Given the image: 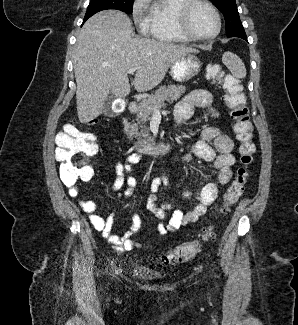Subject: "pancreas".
Wrapping results in <instances>:
<instances>
[{"label": "pancreas", "mask_w": 298, "mask_h": 325, "mask_svg": "<svg viewBox=\"0 0 298 325\" xmlns=\"http://www.w3.org/2000/svg\"><path fill=\"white\" fill-rule=\"evenodd\" d=\"M186 88L187 86H183V84L159 86L150 96L142 98L139 102L136 122L129 126V134H134L139 144H154V136H150L149 128L146 126L147 120H150L154 114V106H166V102H175L186 92Z\"/></svg>", "instance_id": "cf45deb5"}]
</instances>
